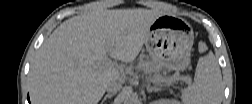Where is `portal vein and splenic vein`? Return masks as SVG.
Segmentation results:
<instances>
[{
	"mask_svg": "<svg viewBox=\"0 0 252 104\" xmlns=\"http://www.w3.org/2000/svg\"><path fill=\"white\" fill-rule=\"evenodd\" d=\"M102 65H103V66H106V67H114L112 60H111L107 55L104 56V58H103V60H102ZM183 79H184L188 84H191V82H192V79H191V77H189V76L183 77Z\"/></svg>",
	"mask_w": 252,
	"mask_h": 104,
	"instance_id": "portal-vein-and-splenic-vein-1",
	"label": "portal vein and splenic vein"
}]
</instances>
